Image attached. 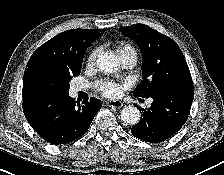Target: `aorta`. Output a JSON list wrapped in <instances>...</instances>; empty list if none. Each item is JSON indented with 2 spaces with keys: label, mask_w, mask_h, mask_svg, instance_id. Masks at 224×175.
<instances>
[{
  "label": "aorta",
  "mask_w": 224,
  "mask_h": 175,
  "mask_svg": "<svg viewBox=\"0 0 224 175\" xmlns=\"http://www.w3.org/2000/svg\"><path fill=\"white\" fill-rule=\"evenodd\" d=\"M98 68L105 73H114L118 70L120 62L113 52H105L97 59ZM140 111L137 107L125 106L121 111V120L126 124L134 125L140 120Z\"/></svg>",
  "instance_id": "1"
}]
</instances>
